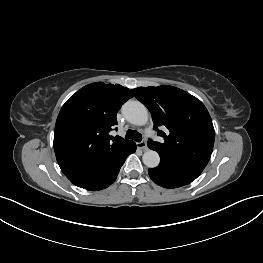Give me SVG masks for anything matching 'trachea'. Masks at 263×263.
<instances>
[{"mask_svg": "<svg viewBox=\"0 0 263 263\" xmlns=\"http://www.w3.org/2000/svg\"><path fill=\"white\" fill-rule=\"evenodd\" d=\"M125 138L126 139H132L136 142H141V140H142L141 134L139 132L131 130V129L127 130Z\"/></svg>", "mask_w": 263, "mask_h": 263, "instance_id": "trachea-1", "label": "trachea"}]
</instances>
